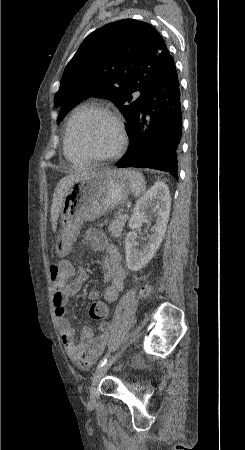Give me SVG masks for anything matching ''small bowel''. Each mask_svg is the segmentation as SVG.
<instances>
[{"mask_svg": "<svg viewBox=\"0 0 245 450\" xmlns=\"http://www.w3.org/2000/svg\"><path fill=\"white\" fill-rule=\"evenodd\" d=\"M83 244L91 246L95 251L103 254L101 266L104 270L103 280L108 283L102 297L106 304L116 301L119 293L126 283V273L120 264V253L116 245L110 242L105 233L96 228H90L83 237ZM51 267L50 276L53 280V306L54 317L59 326L62 343L67 355L81 369H88L93 362L103 353L108 342L110 323L106 320L98 324L100 335L95 337L90 327H84L80 340L76 342L75 329L66 315V307L69 298L78 294L81 286L89 278V273L83 266ZM75 279L71 280V276ZM95 291L89 293L91 299H98Z\"/></svg>", "mask_w": 245, "mask_h": 450, "instance_id": "c3829d8e", "label": "small bowel"}]
</instances>
